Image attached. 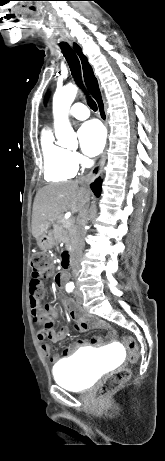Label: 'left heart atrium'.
<instances>
[{
    "label": "left heart atrium",
    "mask_w": 165,
    "mask_h": 461,
    "mask_svg": "<svg viewBox=\"0 0 165 461\" xmlns=\"http://www.w3.org/2000/svg\"><path fill=\"white\" fill-rule=\"evenodd\" d=\"M82 151L88 156L98 155L104 148L106 141L105 130L97 121L84 123L78 132Z\"/></svg>",
    "instance_id": "left-heart-atrium-1"
}]
</instances>
